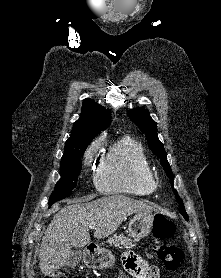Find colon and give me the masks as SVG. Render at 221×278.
I'll return each instance as SVG.
<instances>
[{"mask_svg":"<svg viewBox=\"0 0 221 278\" xmlns=\"http://www.w3.org/2000/svg\"><path fill=\"white\" fill-rule=\"evenodd\" d=\"M175 234V226L171 220L158 214L153 221V237L157 241L155 252L166 270H175L183 260V250L175 245L167 243ZM157 270L152 268V275L155 276ZM46 278H87L81 275L69 277L65 272L56 271Z\"/></svg>","mask_w":221,"mask_h":278,"instance_id":"1","label":"colon"}]
</instances>
